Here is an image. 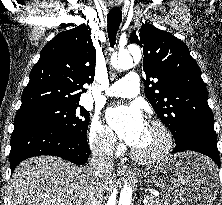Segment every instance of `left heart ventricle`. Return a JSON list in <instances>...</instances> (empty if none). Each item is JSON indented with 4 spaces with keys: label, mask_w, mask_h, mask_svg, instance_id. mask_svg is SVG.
Returning a JSON list of instances; mask_svg holds the SVG:
<instances>
[{
    "label": "left heart ventricle",
    "mask_w": 222,
    "mask_h": 205,
    "mask_svg": "<svg viewBox=\"0 0 222 205\" xmlns=\"http://www.w3.org/2000/svg\"><path fill=\"white\" fill-rule=\"evenodd\" d=\"M163 143L164 138L160 130L146 124L139 141L133 148L142 155H152L162 148Z\"/></svg>",
    "instance_id": "1"
}]
</instances>
